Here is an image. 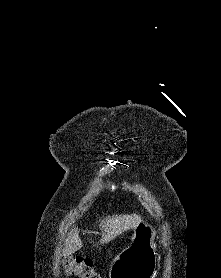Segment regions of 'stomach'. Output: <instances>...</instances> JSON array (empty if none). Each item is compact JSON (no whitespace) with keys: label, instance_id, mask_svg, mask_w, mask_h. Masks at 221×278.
<instances>
[{"label":"stomach","instance_id":"1","mask_svg":"<svg viewBox=\"0 0 221 278\" xmlns=\"http://www.w3.org/2000/svg\"><path fill=\"white\" fill-rule=\"evenodd\" d=\"M155 229L140 221L132 235V242L126 251L108 264L111 278H150L155 272Z\"/></svg>","mask_w":221,"mask_h":278}]
</instances>
